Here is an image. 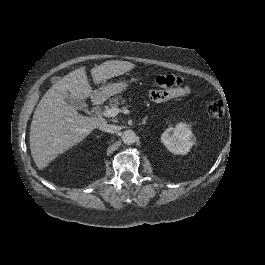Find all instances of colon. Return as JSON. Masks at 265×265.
Wrapping results in <instances>:
<instances>
[{"instance_id": "5ec220e1", "label": "colon", "mask_w": 265, "mask_h": 265, "mask_svg": "<svg viewBox=\"0 0 265 265\" xmlns=\"http://www.w3.org/2000/svg\"><path fill=\"white\" fill-rule=\"evenodd\" d=\"M156 84L163 89H185L187 88L180 77L171 74H161L156 77ZM226 109L222 101H214L208 107V113L213 118H221Z\"/></svg>"}]
</instances>
